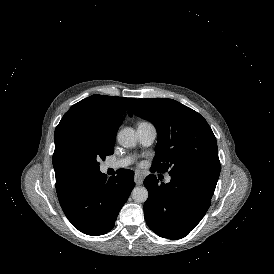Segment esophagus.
Masks as SVG:
<instances>
[{
	"label": "esophagus",
	"instance_id": "esophagus-1",
	"mask_svg": "<svg viewBox=\"0 0 274 274\" xmlns=\"http://www.w3.org/2000/svg\"><path fill=\"white\" fill-rule=\"evenodd\" d=\"M134 181L137 185H141L143 183V175L136 171L134 175Z\"/></svg>",
	"mask_w": 274,
	"mask_h": 274
}]
</instances>
